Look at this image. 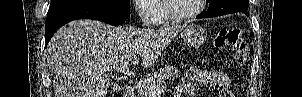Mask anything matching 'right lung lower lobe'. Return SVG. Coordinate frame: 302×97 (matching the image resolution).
Masks as SVG:
<instances>
[{"label": "right lung lower lobe", "mask_w": 302, "mask_h": 97, "mask_svg": "<svg viewBox=\"0 0 302 97\" xmlns=\"http://www.w3.org/2000/svg\"><path fill=\"white\" fill-rule=\"evenodd\" d=\"M77 19H94L117 26L123 24L127 18L112 8L101 5H75L48 11L45 28V47L61 26Z\"/></svg>", "instance_id": "obj_1"}]
</instances>
